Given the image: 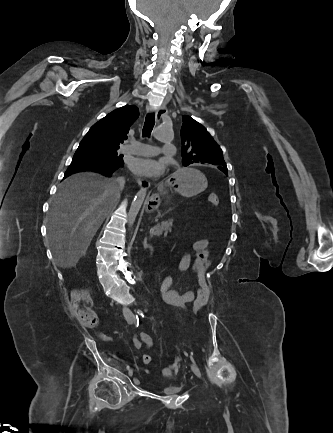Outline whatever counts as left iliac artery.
Listing matches in <instances>:
<instances>
[{"instance_id":"left-iliac-artery-1","label":"left iliac artery","mask_w":333,"mask_h":433,"mask_svg":"<svg viewBox=\"0 0 333 433\" xmlns=\"http://www.w3.org/2000/svg\"><path fill=\"white\" fill-rule=\"evenodd\" d=\"M138 313L144 318V315L142 314V312L141 311H138ZM186 355H187V353H185ZM190 359H191V361L193 362V363H195V361H194V359H193V357L192 356H190Z\"/></svg>"}]
</instances>
